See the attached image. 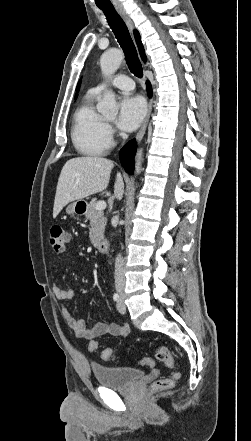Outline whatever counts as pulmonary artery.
<instances>
[{
    "mask_svg": "<svg viewBox=\"0 0 251 441\" xmlns=\"http://www.w3.org/2000/svg\"><path fill=\"white\" fill-rule=\"evenodd\" d=\"M108 85L113 86L117 89L123 90V91H131L134 89V82L131 78L125 75H118L114 77L109 84L107 83H101L98 84L96 87H94L92 90L100 93L104 91Z\"/></svg>",
    "mask_w": 251,
    "mask_h": 441,
    "instance_id": "1",
    "label": "pulmonary artery"
}]
</instances>
